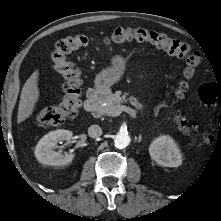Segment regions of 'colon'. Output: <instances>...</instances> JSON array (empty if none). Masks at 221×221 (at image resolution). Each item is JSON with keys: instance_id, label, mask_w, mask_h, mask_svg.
I'll use <instances>...</instances> for the list:
<instances>
[{"instance_id": "obj_1", "label": "colon", "mask_w": 221, "mask_h": 221, "mask_svg": "<svg viewBox=\"0 0 221 221\" xmlns=\"http://www.w3.org/2000/svg\"><path fill=\"white\" fill-rule=\"evenodd\" d=\"M149 42L168 54L185 60L183 78L172 86L167 96L173 101L184 97L188 90V80L192 78L201 62L200 54L193 51L187 44L169 37L168 35L143 29V28H117L101 40L103 45L121 44L125 42ZM92 40L83 34H76L59 40L52 52L51 61L53 69L64 81V95L62 101L51 107L39 111L37 120L47 126H56L68 118L74 117L81 104L82 79L79 68L68 59V55L74 51L90 45ZM199 97L204 105L211 107L221 104V93L218 88L210 83L203 84L199 89ZM173 119L181 133L192 138H199L204 143L212 141L210 131L198 133L181 113L180 110L172 112Z\"/></svg>"}]
</instances>
